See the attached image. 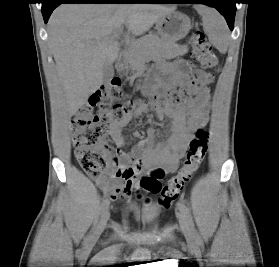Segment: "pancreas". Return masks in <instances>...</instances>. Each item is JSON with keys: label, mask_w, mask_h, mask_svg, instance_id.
Instances as JSON below:
<instances>
[{"label": "pancreas", "mask_w": 279, "mask_h": 267, "mask_svg": "<svg viewBox=\"0 0 279 267\" xmlns=\"http://www.w3.org/2000/svg\"><path fill=\"white\" fill-rule=\"evenodd\" d=\"M187 51L186 46L165 42L157 35L149 34L129 46L126 52V63L134 73L148 60L158 58L172 59L186 54Z\"/></svg>", "instance_id": "pancreas-1"}]
</instances>
